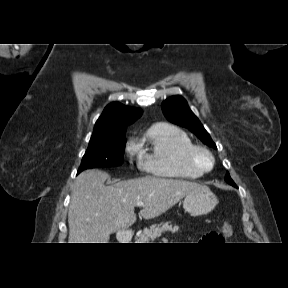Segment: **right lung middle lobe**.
Segmentation results:
<instances>
[{"mask_svg":"<svg viewBox=\"0 0 288 288\" xmlns=\"http://www.w3.org/2000/svg\"><path fill=\"white\" fill-rule=\"evenodd\" d=\"M125 143V133L90 140L78 173L89 168L120 166L123 163Z\"/></svg>","mask_w":288,"mask_h":288,"instance_id":"dd1d6c3e","label":"right lung middle lobe"}]
</instances>
